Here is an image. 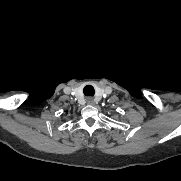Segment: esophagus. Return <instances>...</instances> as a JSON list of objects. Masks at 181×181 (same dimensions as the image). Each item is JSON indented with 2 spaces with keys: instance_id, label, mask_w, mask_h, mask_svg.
Here are the masks:
<instances>
[{
  "instance_id": "34e87169",
  "label": "esophagus",
  "mask_w": 181,
  "mask_h": 181,
  "mask_svg": "<svg viewBox=\"0 0 181 181\" xmlns=\"http://www.w3.org/2000/svg\"><path fill=\"white\" fill-rule=\"evenodd\" d=\"M86 101H87V104H89V105H94L95 104V100L92 97H88L86 99Z\"/></svg>"
}]
</instances>
